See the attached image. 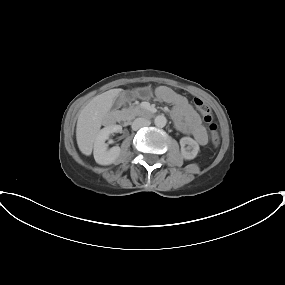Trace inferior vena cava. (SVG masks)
Returning <instances> with one entry per match:
<instances>
[{
  "instance_id": "1",
  "label": "inferior vena cava",
  "mask_w": 285,
  "mask_h": 285,
  "mask_svg": "<svg viewBox=\"0 0 285 285\" xmlns=\"http://www.w3.org/2000/svg\"><path fill=\"white\" fill-rule=\"evenodd\" d=\"M151 122L145 118H136L132 123V129L138 130L141 127L149 126Z\"/></svg>"
}]
</instances>
